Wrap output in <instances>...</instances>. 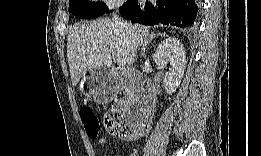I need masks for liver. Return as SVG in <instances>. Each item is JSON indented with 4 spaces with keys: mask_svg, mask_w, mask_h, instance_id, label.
Instances as JSON below:
<instances>
[{
    "mask_svg": "<svg viewBox=\"0 0 261 156\" xmlns=\"http://www.w3.org/2000/svg\"><path fill=\"white\" fill-rule=\"evenodd\" d=\"M131 31L135 50L154 35L149 27L126 23ZM129 38L109 18L74 25L67 37V58L72 84L76 86L87 71L109 67L112 58L124 59L128 65L135 62Z\"/></svg>",
    "mask_w": 261,
    "mask_h": 156,
    "instance_id": "6515ba94",
    "label": "liver"
}]
</instances>
